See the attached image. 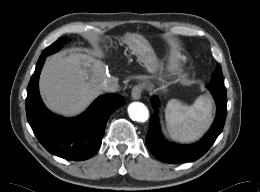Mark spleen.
I'll list each match as a JSON object with an SVG mask.
<instances>
[{
	"label": "spleen",
	"instance_id": "obj_1",
	"mask_svg": "<svg viewBox=\"0 0 260 192\" xmlns=\"http://www.w3.org/2000/svg\"><path fill=\"white\" fill-rule=\"evenodd\" d=\"M212 109V101L205 95L198 97L191 106L178 100L169 101L165 109V119L171 138L179 142L198 139L213 120Z\"/></svg>",
	"mask_w": 260,
	"mask_h": 192
}]
</instances>
